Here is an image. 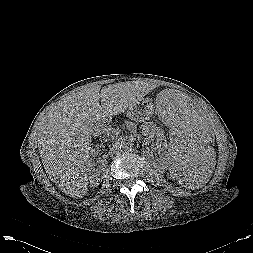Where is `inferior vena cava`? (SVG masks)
Returning <instances> with one entry per match:
<instances>
[{"label": "inferior vena cava", "instance_id": "1", "mask_svg": "<svg viewBox=\"0 0 253 253\" xmlns=\"http://www.w3.org/2000/svg\"><path fill=\"white\" fill-rule=\"evenodd\" d=\"M93 129H94L95 131H100V130H101L99 127H93ZM92 131H93V130H92ZM119 153H120V150H119V148H118V142H117V143H115V145H113V146L110 148L109 154H110L111 156H116V155H118Z\"/></svg>", "mask_w": 253, "mask_h": 253}]
</instances>
